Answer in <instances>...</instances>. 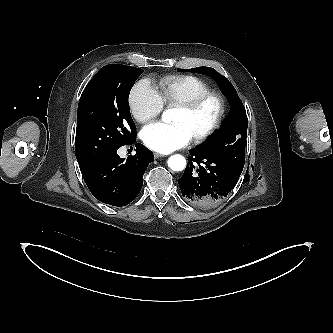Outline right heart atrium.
<instances>
[{
    "mask_svg": "<svg viewBox=\"0 0 333 333\" xmlns=\"http://www.w3.org/2000/svg\"><path fill=\"white\" fill-rule=\"evenodd\" d=\"M163 107L159 93L149 81L141 80L134 85L129 96V108L137 122L146 123L154 119Z\"/></svg>",
    "mask_w": 333,
    "mask_h": 333,
    "instance_id": "obj_1",
    "label": "right heart atrium"
}]
</instances>
